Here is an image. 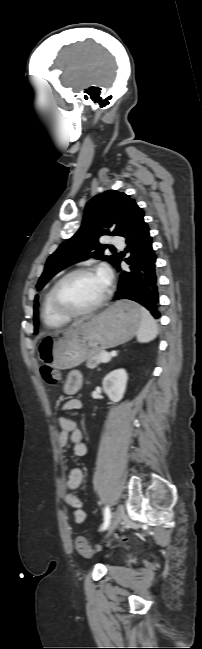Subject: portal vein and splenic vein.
<instances>
[{"label": "portal vein and splenic vein", "instance_id": "obj_1", "mask_svg": "<svg viewBox=\"0 0 202 649\" xmlns=\"http://www.w3.org/2000/svg\"><path fill=\"white\" fill-rule=\"evenodd\" d=\"M100 359H101V361H102L103 363H107V362L110 361L111 356H110L109 353H102L101 356H100Z\"/></svg>", "mask_w": 202, "mask_h": 649}]
</instances>
